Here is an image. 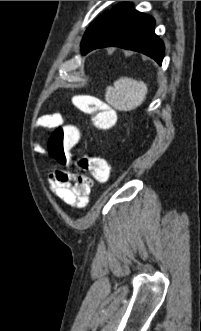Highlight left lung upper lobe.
<instances>
[{
    "label": "left lung upper lobe",
    "mask_w": 201,
    "mask_h": 331,
    "mask_svg": "<svg viewBox=\"0 0 201 331\" xmlns=\"http://www.w3.org/2000/svg\"><path fill=\"white\" fill-rule=\"evenodd\" d=\"M108 12L104 13L103 15H101L99 18H97L86 30L83 40H85L89 34L95 29V27L97 26V24L100 22V20L107 14ZM82 40V41H83Z\"/></svg>",
    "instance_id": "obj_1"
}]
</instances>
